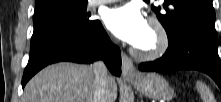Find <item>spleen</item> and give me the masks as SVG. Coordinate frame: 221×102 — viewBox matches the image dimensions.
I'll return each instance as SVG.
<instances>
[{
	"label": "spleen",
	"mask_w": 221,
	"mask_h": 102,
	"mask_svg": "<svg viewBox=\"0 0 221 102\" xmlns=\"http://www.w3.org/2000/svg\"><path fill=\"white\" fill-rule=\"evenodd\" d=\"M196 88L203 100V102H214V96L211 93L210 89L200 81H197Z\"/></svg>",
	"instance_id": "1"
}]
</instances>
